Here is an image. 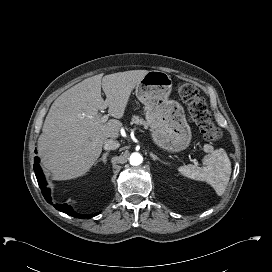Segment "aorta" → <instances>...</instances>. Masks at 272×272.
Returning <instances> with one entry per match:
<instances>
[{
    "instance_id": "762f6f07",
    "label": "aorta",
    "mask_w": 272,
    "mask_h": 272,
    "mask_svg": "<svg viewBox=\"0 0 272 272\" xmlns=\"http://www.w3.org/2000/svg\"><path fill=\"white\" fill-rule=\"evenodd\" d=\"M129 161L132 166H138L143 162V157L139 153H132Z\"/></svg>"
}]
</instances>
